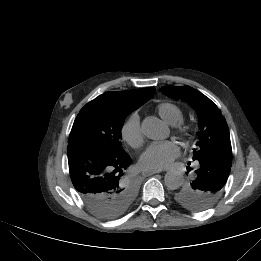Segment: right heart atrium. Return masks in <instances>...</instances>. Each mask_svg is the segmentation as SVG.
Returning a JSON list of instances; mask_svg holds the SVG:
<instances>
[{
  "label": "right heart atrium",
  "mask_w": 261,
  "mask_h": 261,
  "mask_svg": "<svg viewBox=\"0 0 261 261\" xmlns=\"http://www.w3.org/2000/svg\"><path fill=\"white\" fill-rule=\"evenodd\" d=\"M122 139L132 148H139L144 140L138 113H131L121 127Z\"/></svg>",
  "instance_id": "obj_1"
}]
</instances>
